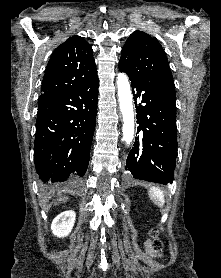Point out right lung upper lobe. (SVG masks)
Here are the masks:
<instances>
[{
  "label": "right lung upper lobe",
  "mask_w": 221,
  "mask_h": 278,
  "mask_svg": "<svg viewBox=\"0 0 221 278\" xmlns=\"http://www.w3.org/2000/svg\"><path fill=\"white\" fill-rule=\"evenodd\" d=\"M97 77L90 44L72 36L51 56L41 86L44 95L81 85Z\"/></svg>",
  "instance_id": "1"
}]
</instances>
